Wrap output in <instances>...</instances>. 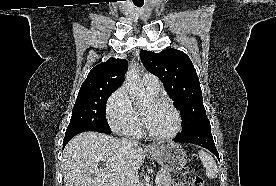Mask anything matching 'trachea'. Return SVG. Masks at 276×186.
Wrapping results in <instances>:
<instances>
[{
	"label": "trachea",
	"mask_w": 276,
	"mask_h": 186,
	"mask_svg": "<svg viewBox=\"0 0 276 186\" xmlns=\"http://www.w3.org/2000/svg\"><path fill=\"white\" fill-rule=\"evenodd\" d=\"M133 3H134L135 6H137V7H142V6H143V2H135V1H133Z\"/></svg>",
	"instance_id": "trachea-1"
}]
</instances>
